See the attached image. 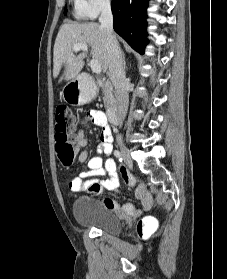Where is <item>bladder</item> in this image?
<instances>
[{
	"label": "bladder",
	"instance_id": "31cf9c89",
	"mask_svg": "<svg viewBox=\"0 0 227 279\" xmlns=\"http://www.w3.org/2000/svg\"><path fill=\"white\" fill-rule=\"evenodd\" d=\"M74 220L83 226L96 228L109 235L122 232V220L92 197H83L73 208Z\"/></svg>",
	"mask_w": 227,
	"mask_h": 279
}]
</instances>
